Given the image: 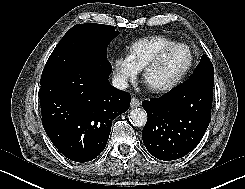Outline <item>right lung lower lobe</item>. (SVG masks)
Returning <instances> with one entry per match:
<instances>
[{"label":"right lung lower lobe","instance_id":"1","mask_svg":"<svg viewBox=\"0 0 245 189\" xmlns=\"http://www.w3.org/2000/svg\"><path fill=\"white\" fill-rule=\"evenodd\" d=\"M107 58H87L57 79L41 85L43 127L68 159L87 162L105 148L112 121L126 112L129 93L113 87Z\"/></svg>","mask_w":245,"mask_h":189}]
</instances>
